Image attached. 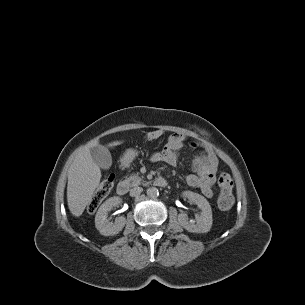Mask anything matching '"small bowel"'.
<instances>
[{
	"label": "small bowel",
	"mask_w": 305,
	"mask_h": 305,
	"mask_svg": "<svg viewBox=\"0 0 305 305\" xmlns=\"http://www.w3.org/2000/svg\"><path fill=\"white\" fill-rule=\"evenodd\" d=\"M188 141V137L181 133L171 134L162 150L152 153L150 160L154 163H166L175 166L179 160V150ZM192 148H199L200 151L192 162V172L187 174V183L201 190L204 196H213V184L216 179L218 159L214 152L197 142L191 144Z\"/></svg>",
	"instance_id": "small-bowel-1"
}]
</instances>
